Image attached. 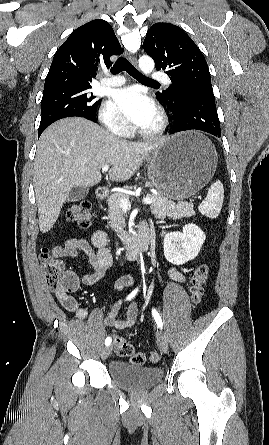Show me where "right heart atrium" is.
Masks as SVG:
<instances>
[{
    "label": "right heart atrium",
    "mask_w": 269,
    "mask_h": 445,
    "mask_svg": "<svg viewBox=\"0 0 269 445\" xmlns=\"http://www.w3.org/2000/svg\"><path fill=\"white\" fill-rule=\"evenodd\" d=\"M99 119L104 127L113 134L125 136L130 132L128 121L111 101L102 104Z\"/></svg>",
    "instance_id": "obj_1"
}]
</instances>
